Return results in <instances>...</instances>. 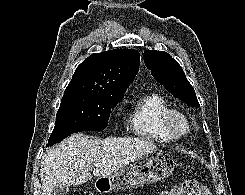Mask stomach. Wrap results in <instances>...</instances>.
<instances>
[{
  "instance_id": "0dacf381",
  "label": "stomach",
  "mask_w": 245,
  "mask_h": 195,
  "mask_svg": "<svg viewBox=\"0 0 245 195\" xmlns=\"http://www.w3.org/2000/svg\"><path fill=\"white\" fill-rule=\"evenodd\" d=\"M176 166L171 154L158 150L142 155L111 176L99 178V190H124L168 178Z\"/></svg>"
}]
</instances>
